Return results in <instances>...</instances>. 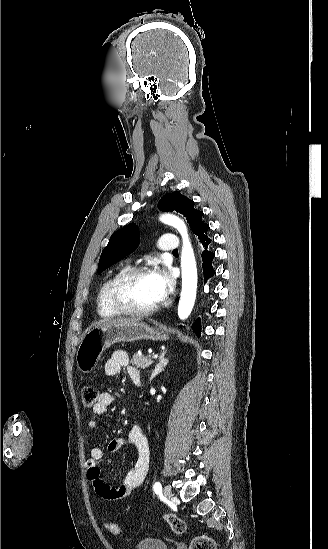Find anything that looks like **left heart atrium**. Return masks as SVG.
I'll return each mask as SVG.
<instances>
[{"label": "left heart atrium", "mask_w": 328, "mask_h": 549, "mask_svg": "<svg viewBox=\"0 0 328 549\" xmlns=\"http://www.w3.org/2000/svg\"><path fill=\"white\" fill-rule=\"evenodd\" d=\"M152 275L157 296L160 300L164 299L174 289V274L170 268L166 267L154 270Z\"/></svg>", "instance_id": "39dd6f15"}]
</instances>
